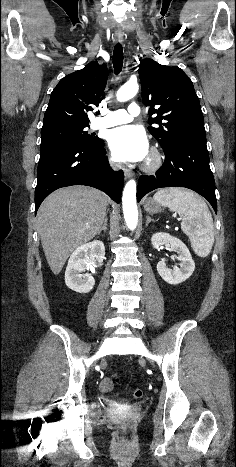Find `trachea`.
Instances as JSON below:
<instances>
[{
  "label": "trachea",
  "mask_w": 236,
  "mask_h": 467,
  "mask_svg": "<svg viewBox=\"0 0 236 467\" xmlns=\"http://www.w3.org/2000/svg\"><path fill=\"white\" fill-rule=\"evenodd\" d=\"M123 66V48L120 43L116 44L113 52V67H114V72L116 75H118Z\"/></svg>",
  "instance_id": "trachea-1"
}]
</instances>
